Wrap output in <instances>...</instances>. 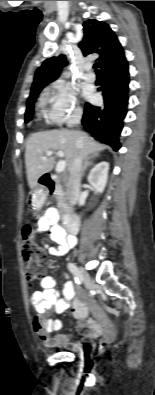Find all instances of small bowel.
I'll return each mask as SVG.
<instances>
[{"instance_id":"obj_1","label":"small bowel","mask_w":155,"mask_h":395,"mask_svg":"<svg viewBox=\"0 0 155 395\" xmlns=\"http://www.w3.org/2000/svg\"><path fill=\"white\" fill-rule=\"evenodd\" d=\"M58 218V211L50 208L38 222L39 230H49L52 240L57 245L50 247L46 242H43L44 247L51 255L65 254L77 244L75 236L67 234L57 225ZM40 286L41 288H33L30 302L36 312L32 323L33 329L45 347H63L70 339L68 335L64 334L51 335L53 332H58L62 327L59 320L48 317L53 307L57 314H62L71 308V314L78 322L77 328L87 326L89 329L84 335L85 338L95 337L101 332V323L89 318V309L86 304L80 298H75L76 291L73 282L67 281L62 290L59 291L56 289L55 279L46 275L41 279Z\"/></svg>"}]
</instances>
